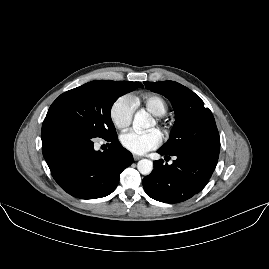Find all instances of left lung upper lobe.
Masks as SVG:
<instances>
[{
  "instance_id": "5c2ea615",
  "label": "left lung upper lobe",
  "mask_w": 269,
  "mask_h": 269,
  "mask_svg": "<svg viewBox=\"0 0 269 269\" xmlns=\"http://www.w3.org/2000/svg\"><path fill=\"white\" fill-rule=\"evenodd\" d=\"M147 89L170 100L175 124L162 148L219 157V133L211 111L199 96L174 81L144 82Z\"/></svg>"
}]
</instances>
